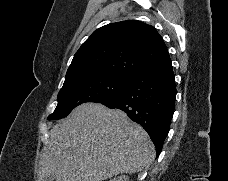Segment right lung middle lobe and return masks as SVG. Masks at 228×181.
I'll list each match as a JSON object with an SVG mask.
<instances>
[{
	"mask_svg": "<svg viewBox=\"0 0 228 181\" xmlns=\"http://www.w3.org/2000/svg\"><path fill=\"white\" fill-rule=\"evenodd\" d=\"M130 79L131 77L99 74L66 83L58 94L55 111L47 119L64 118L82 103L111 100L127 86Z\"/></svg>",
	"mask_w": 228,
	"mask_h": 181,
	"instance_id": "1",
	"label": "right lung middle lobe"
}]
</instances>
